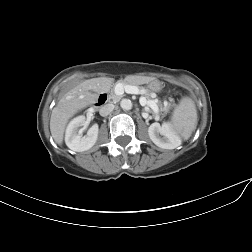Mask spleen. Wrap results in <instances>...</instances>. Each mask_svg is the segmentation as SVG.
Here are the masks:
<instances>
[{
  "label": "spleen",
  "instance_id": "spleen-1",
  "mask_svg": "<svg viewBox=\"0 0 252 252\" xmlns=\"http://www.w3.org/2000/svg\"><path fill=\"white\" fill-rule=\"evenodd\" d=\"M197 125V110L195 103L189 97L181 99L171 116V127L183 139H188Z\"/></svg>",
  "mask_w": 252,
  "mask_h": 252
}]
</instances>
